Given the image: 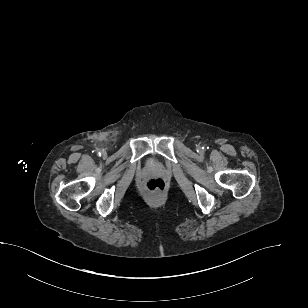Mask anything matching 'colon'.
I'll list each match as a JSON object with an SVG mask.
<instances>
[{"label":"colon","mask_w":308,"mask_h":308,"mask_svg":"<svg viewBox=\"0 0 308 308\" xmlns=\"http://www.w3.org/2000/svg\"><path fill=\"white\" fill-rule=\"evenodd\" d=\"M145 190L151 195H158L165 191L166 182L162 178H151L144 184Z\"/></svg>","instance_id":"1"}]
</instances>
